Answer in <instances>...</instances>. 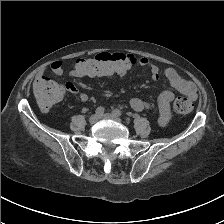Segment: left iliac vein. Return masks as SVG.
Wrapping results in <instances>:
<instances>
[{
    "instance_id": "1",
    "label": "left iliac vein",
    "mask_w": 224,
    "mask_h": 224,
    "mask_svg": "<svg viewBox=\"0 0 224 224\" xmlns=\"http://www.w3.org/2000/svg\"><path fill=\"white\" fill-rule=\"evenodd\" d=\"M102 117L105 119H111L117 122H121V119L119 118V116L115 115L114 113H105Z\"/></svg>"
}]
</instances>
